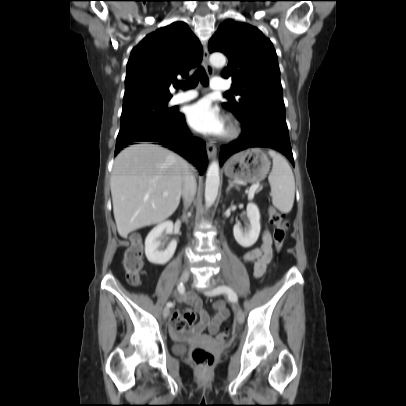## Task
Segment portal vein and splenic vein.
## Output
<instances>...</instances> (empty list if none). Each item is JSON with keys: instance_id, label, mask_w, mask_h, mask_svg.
Returning <instances> with one entry per match:
<instances>
[{"instance_id": "1", "label": "portal vein and splenic vein", "mask_w": 406, "mask_h": 406, "mask_svg": "<svg viewBox=\"0 0 406 406\" xmlns=\"http://www.w3.org/2000/svg\"><path fill=\"white\" fill-rule=\"evenodd\" d=\"M259 187H260V183H255V184H253V185L250 187V189H249V198H250V199L253 198V196H254L256 190H257ZM163 195H164V196H168V193H167V192H164Z\"/></svg>"}]
</instances>
